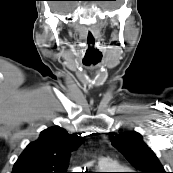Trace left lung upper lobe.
<instances>
[{
	"instance_id": "1",
	"label": "left lung upper lobe",
	"mask_w": 173,
	"mask_h": 173,
	"mask_svg": "<svg viewBox=\"0 0 173 173\" xmlns=\"http://www.w3.org/2000/svg\"><path fill=\"white\" fill-rule=\"evenodd\" d=\"M112 145L137 169L138 173H166L155 153L138 132H125L113 137Z\"/></svg>"
}]
</instances>
